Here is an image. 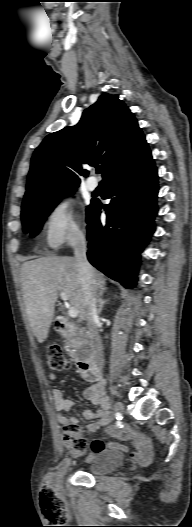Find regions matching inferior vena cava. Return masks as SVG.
Wrapping results in <instances>:
<instances>
[{"label": "inferior vena cava", "instance_id": "1", "mask_svg": "<svg viewBox=\"0 0 192 527\" xmlns=\"http://www.w3.org/2000/svg\"><path fill=\"white\" fill-rule=\"evenodd\" d=\"M72 247L74 249L78 273L82 284L84 305L87 310V326L94 340L98 361L100 365L103 366V345L97 328L99 316L97 310V294L94 286L95 279L93 268L87 260L85 237L81 231H78L74 234L72 238Z\"/></svg>", "mask_w": 192, "mask_h": 527}]
</instances>
